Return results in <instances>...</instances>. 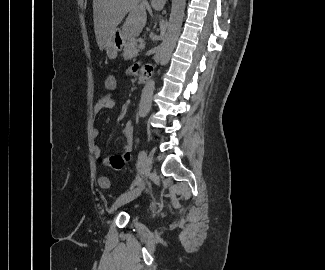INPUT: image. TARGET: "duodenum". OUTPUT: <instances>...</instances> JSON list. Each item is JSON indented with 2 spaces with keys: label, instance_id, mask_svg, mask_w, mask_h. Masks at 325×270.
<instances>
[{
  "label": "duodenum",
  "instance_id": "410a0bca",
  "mask_svg": "<svg viewBox=\"0 0 325 270\" xmlns=\"http://www.w3.org/2000/svg\"><path fill=\"white\" fill-rule=\"evenodd\" d=\"M148 81V77H147V75H141L140 76V82L141 83H146Z\"/></svg>",
  "mask_w": 325,
  "mask_h": 270
}]
</instances>
